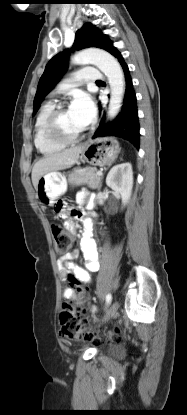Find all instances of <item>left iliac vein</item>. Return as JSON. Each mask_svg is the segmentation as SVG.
I'll return each instance as SVG.
<instances>
[{"label": "left iliac vein", "instance_id": "1", "mask_svg": "<svg viewBox=\"0 0 187 415\" xmlns=\"http://www.w3.org/2000/svg\"><path fill=\"white\" fill-rule=\"evenodd\" d=\"M119 302L118 301H115L112 305H111V307L109 308V310L107 311V314L104 316V318H103V322H106V321H108L110 318H112V317H114V316H116V314H117V311H118V309H119Z\"/></svg>", "mask_w": 187, "mask_h": 415}]
</instances>
